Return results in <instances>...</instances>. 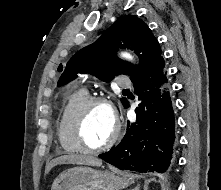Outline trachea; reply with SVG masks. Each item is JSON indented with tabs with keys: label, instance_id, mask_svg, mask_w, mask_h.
<instances>
[{
	"label": "trachea",
	"instance_id": "obj_1",
	"mask_svg": "<svg viewBox=\"0 0 221 190\" xmlns=\"http://www.w3.org/2000/svg\"><path fill=\"white\" fill-rule=\"evenodd\" d=\"M123 91H128V89H123Z\"/></svg>",
	"mask_w": 221,
	"mask_h": 190
}]
</instances>
